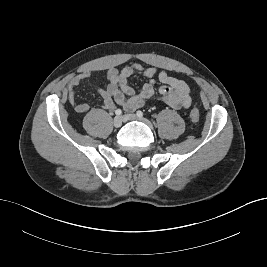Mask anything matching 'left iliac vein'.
<instances>
[{
    "label": "left iliac vein",
    "instance_id": "4c4485c4",
    "mask_svg": "<svg viewBox=\"0 0 267 267\" xmlns=\"http://www.w3.org/2000/svg\"><path fill=\"white\" fill-rule=\"evenodd\" d=\"M124 118H125L126 120H130V121H141V122L145 123L147 126H149L150 128L153 127V126H152V123H151L149 120L144 119V118H142V117H138V116L135 115V114H127V115H125Z\"/></svg>",
    "mask_w": 267,
    "mask_h": 267
}]
</instances>
